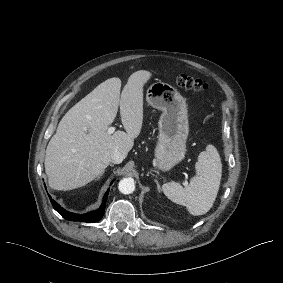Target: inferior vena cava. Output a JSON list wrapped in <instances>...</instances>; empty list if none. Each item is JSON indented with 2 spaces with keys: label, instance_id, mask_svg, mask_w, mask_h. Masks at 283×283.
I'll use <instances>...</instances> for the list:
<instances>
[{
  "label": "inferior vena cava",
  "instance_id": "1",
  "mask_svg": "<svg viewBox=\"0 0 283 283\" xmlns=\"http://www.w3.org/2000/svg\"><path fill=\"white\" fill-rule=\"evenodd\" d=\"M110 158L111 162L114 164H120L124 159L123 155L118 150L112 151L110 154Z\"/></svg>",
  "mask_w": 283,
  "mask_h": 283
}]
</instances>
